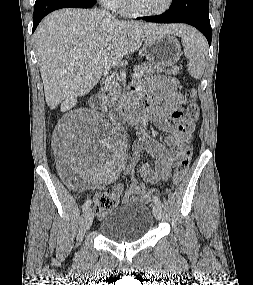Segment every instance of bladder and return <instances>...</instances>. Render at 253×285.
Returning a JSON list of instances; mask_svg holds the SVG:
<instances>
[{
	"instance_id": "bladder-1",
	"label": "bladder",
	"mask_w": 253,
	"mask_h": 285,
	"mask_svg": "<svg viewBox=\"0 0 253 285\" xmlns=\"http://www.w3.org/2000/svg\"><path fill=\"white\" fill-rule=\"evenodd\" d=\"M153 222V214L147 205L124 201L105 213L99 230L110 241L131 243L144 238L151 230Z\"/></svg>"
}]
</instances>
